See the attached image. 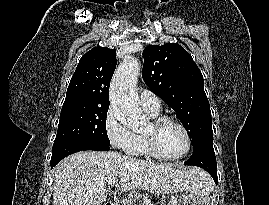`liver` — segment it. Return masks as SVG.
Wrapping results in <instances>:
<instances>
[{
  "mask_svg": "<svg viewBox=\"0 0 269 205\" xmlns=\"http://www.w3.org/2000/svg\"><path fill=\"white\" fill-rule=\"evenodd\" d=\"M118 177L120 192L139 188L157 195L207 189L211 183L208 174L195 167L154 164L113 151H81L54 168L53 205H100L108 195V180Z\"/></svg>",
  "mask_w": 269,
  "mask_h": 205,
  "instance_id": "1",
  "label": "liver"
}]
</instances>
